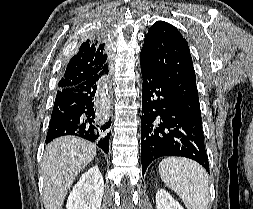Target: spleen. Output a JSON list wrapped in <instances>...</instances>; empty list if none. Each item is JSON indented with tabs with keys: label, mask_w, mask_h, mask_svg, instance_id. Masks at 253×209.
Returning a JSON list of instances; mask_svg holds the SVG:
<instances>
[{
	"label": "spleen",
	"mask_w": 253,
	"mask_h": 209,
	"mask_svg": "<svg viewBox=\"0 0 253 209\" xmlns=\"http://www.w3.org/2000/svg\"><path fill=\"white\" fill-rule=\"evenodd\" d=\"M163 182L182 199L187 209H207L209 180L205 169L186 158H165L159 164Z\"/></svg>",
	"instance_id": "spleen-1"
}]
</instances>
